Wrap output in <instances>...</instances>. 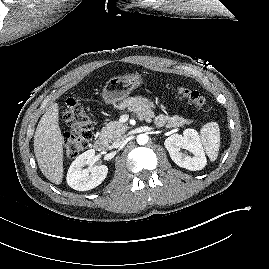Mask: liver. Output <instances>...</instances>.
<instances>
[{"label":"liver","instance_id":"1","mask_svg":"<svg viewBox=\"0 0 269 269\" xmlns=\"http://www.w3.org/2000/svg\"><path fill=\"white\" fill-rule=\"evenodd\" d=\"M59 105L46 110L34 135V153L43 175L59 185L63 179V136L59 127Z\"/></svg>","mask_w":269,"mask_h":269}]
</instances>
